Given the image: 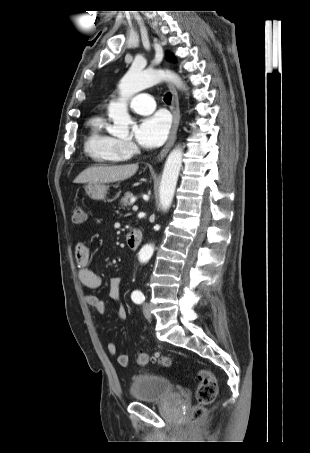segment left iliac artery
<instances>
[{
  "label": "left iliac artery",
  "mask_w": 310,
  "mask_h": 453,
  "mask_svg": "<svg viewBox=\"0 0 310 453\" xmlns=\"http://www.w3.org/2000/svg\"><path fill=\"white\" fill-rule=\"evenodd\" d=\"M131 298L137 304H141L145 300L144 294L141 291H138V290H136V291H134L132 293Z\"/></svg>",
  "instance_id": "1"
}]
</instances>
